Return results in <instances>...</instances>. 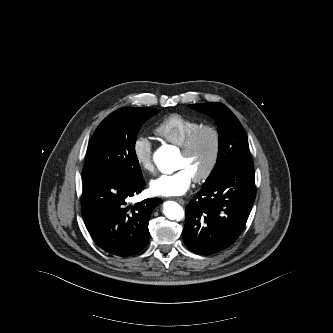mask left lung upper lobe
Masks as SVG:
<instances>
[{
	"label": "left lung upper lobe",
	"instance_id": "obj_1",
	"mask_svg": "<svg viewBox=\"0 0 333 333\" xmlns=\"http://www.w3.org/2000/svg\"><path fill=\"white\" fill-rule=\"evenodd\" d=\"M191 108L211 115L218 126L219 152L216 166L203 184L207 185L226 172L253 166L248 139L237 117L222 103H200Z\"/></svg>",
	"mask_w": 333,
	"mask_h": 333
}]
</instances>
